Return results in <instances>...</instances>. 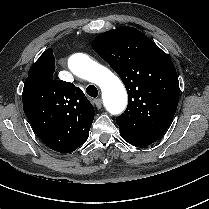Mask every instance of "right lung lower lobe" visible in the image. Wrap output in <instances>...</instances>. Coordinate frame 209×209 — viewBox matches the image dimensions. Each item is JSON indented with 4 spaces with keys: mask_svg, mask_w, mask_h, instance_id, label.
I'll use <instances>...</instances> for the list:
<instances>
[{
    "mask_svg": "<svg viewBox=\"0 0 209 209\" xmlns=\"http://www.w3.org/2000/svg\"><path fill=\"white\" fill-rule=\"evenodd\" d=\"M32 127L35 133L39 136V138L52 150H55L60 153H70L74 151L65 144L55 142L56 138H52L54 130L48 128H38L35 126Z\"/></svg>",
    "mask_w": 209,
    "mask_h": 209,
    "instance_id": "1",
    "label": "right lung lower lobe"
}]
</instances>
